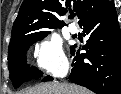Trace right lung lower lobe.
Returning <instances> with one entry per match:
<instances>
[{
	"label": "right lung lower lobe",
	"mask_w": 121,
	"mask_h": 94,
	"mask_svg": "<svg viewBox=\"0 0 121 94\" xmlns=\"http://www.w3.org/2000/svg\"><path fill=\"white\" fill-rule=\"evenodd\" d=\"M79 25L89 36L87 53H80L77 45L71 47L75 63L69 79L97 94H121V31L114 1ZM51 80L47 76L42 81Z\"/></svg>",
	"instance_id": "1"
}]
</instances>
